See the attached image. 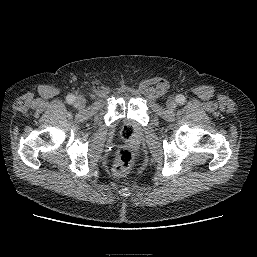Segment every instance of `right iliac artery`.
<instances>
[{
    "mask_svg": "<svg viewBox=\"0 0 257 257\" xmlns=\"http://www.w3.org/2000/svg\"><path fill=\"white\" fill-rule=\"evenodd\" d=\"M66 101L69 103V104H72L74 103L75 101V96L74 95H68L67 98H66Z\"/></svg>",
    "mask_w": 257,
    "mask_h": 257,
    "instance_id": "1",
    "label": "right iliac artery"
}]
</instances>
